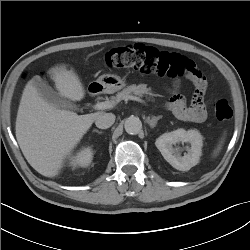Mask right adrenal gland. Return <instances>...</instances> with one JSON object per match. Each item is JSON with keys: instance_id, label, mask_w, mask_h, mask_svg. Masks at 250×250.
Returning a JSON list of instances; mask_svg holds the SVG:
<instances>
[{"instance_id": "2a0ac1e0", "label": "right adrenal gland", "mask_w": 250, "mask_h": 250, "mask_svg": "<svg viewBox=\"0 0 250 250\" xmlns=\"http://www.w3.org/2000/svg\"><path fill=\"white\" fill-rule=\"evenodd\" d=\"M94 132H97L98 134H102L103 132L102 131H99L97 129L93 130Z\"/></svg>"}]
</instances>
